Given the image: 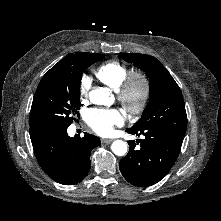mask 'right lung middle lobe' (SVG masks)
<instances>
[{"label":"right lung middle lobe","instance_id":"obj_1","mask_svg":"<svg viewBox=\"0 0 221 221\" xmlns=\"http://www.w3.org/2000/svg\"><path fill=\"white\" fill-rule=\"evenodd\" d=\"M104 58L97 53L81 52L58 70L47 72L34 95L30 111V133L68 127L78 114L79 89L83 71Z\"/></svg>","mask_w":221,"mask_h":221}]
</instances>
